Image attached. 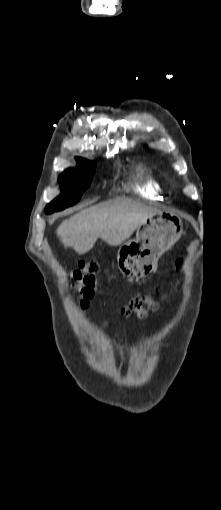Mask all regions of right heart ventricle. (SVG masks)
Returning a JSON list of instances; mask_svg holds the SVG:
<instances>
[{
  "label": "right heart ventricle",
  "mask_w": 221,
  "mask_h": 510,
  "mask_svg": "<svg viewBox=\"0 0 221 510\" xmlns=\"http://www.w3.org/2000/svg\"><path fill=\"white\" fill-rule=\"evenodd\" d=\"M132 190L143 198L158 200L163 193V185L151 171L140 168L136 172Z\"/></svg>",
  "instance_id": "obj_1"
}]
</instances>
